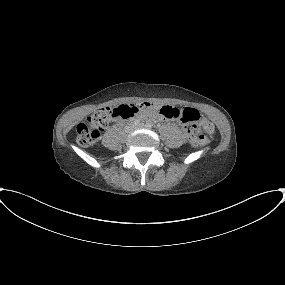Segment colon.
Here are the masks:
<instances>
[{"instance_id": "colon-1", "label": "colon", "mask_w": 285, "mask_h": 285, "mask_svg": "<svg viewBox=\"0 0 285 285\" xmlns=\"http://www.w3.org/2000/svg\"><path fill=\"white\" fill-rule=\"evenodd\" d=\"M144 111L148 113H158L166 118L178 120L187 128V138L194 146H201L206 143L205 138L200 133L203 128L207 132L213 131V125L205 121L201 114L194 108H179L173 105H157L155 103L124 104L117 108L101 107L97 108L85 121L79 123L76 127L77 142L81 146L92 145L100 134L110 125L111 121L116 118L129 119ZM195 125L196 129L189 126Z\"/></svg>"}]
</instances>
